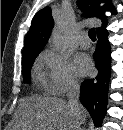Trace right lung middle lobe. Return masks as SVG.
<instances>
[{
  "instance_id": "right-lung-middle-lobe-1",
  "label": "right lung middle lobe",
  "mask_w": 123,
  "mask_h": 130,
  "mask_svg": "<svg viewBox=\"0 0 123 130\" xmlns=\"http://www.w3.org/2000/svg\"><path fill=\"white\" fill-rule=\"evenodd\" d=\"M38 54L24 56L22 59V73L24 82L29 83L31 78V66Z\"/></svg>"
}]
</instances>
